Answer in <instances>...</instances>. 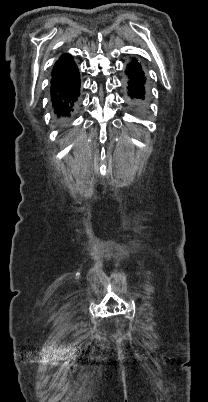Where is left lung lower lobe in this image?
Listing matches in <instances>:
<instances>
[{
	"instance_id": "0a47b994",
	"label": "left lung lower lobe",
	"mask_w": 208,
	"mask_h": 402,
	"mask_svg": "<svg viewBox=\"0 0 208 402\" xmlns=\"http://www.w3.org/2000/svg\"><path fill=\"white\" fill-rule=\"evenodd\" d=\"M126 84L128 99L137 110H144L148 97L146 74L138 62L131 60L126 66Z\"/></svg>"
}]
</instances>
